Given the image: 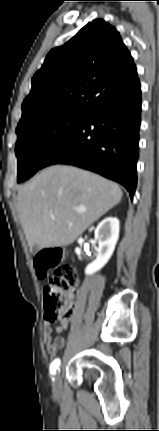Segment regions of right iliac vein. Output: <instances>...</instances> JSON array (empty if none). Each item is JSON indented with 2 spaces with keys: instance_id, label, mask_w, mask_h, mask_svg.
Wrapping results in <instances>:
<instances>
[{
  "instance_id": "1",
  "label": "right iliac vein",
  "mask_w": 159,
  "mask_h": 431,
  "mask_svg": "<svg viewBox=\"0 0 159 431\" xmlns=\"http://www.w3.org/2000/svg\"><path fill=\"white\" fill-rule=\"evenodd\" d=\"M53 389L58 392L61 389L60 372L58 371L53 380Z\"/></svg>"
}]
</instances>
